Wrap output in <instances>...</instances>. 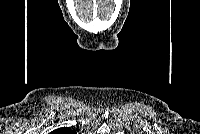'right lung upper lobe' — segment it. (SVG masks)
I'll return each mask as SVG.
<instances>
[{"label": "right lung upper lobe", "instance_id": "obj_1", "mask_svg": "<svg viewBox=\"0 0 200 134\" xmlns=\"http://www.w3.org/2000/svg\"><path fill=\"white\" fill-rule=\"evenodd\" d=\"M71 132L72 131L69 128H60V129L55 130L53 133H55V134H69Z\"/></svg>", "mask_w": 200, "mask_h": 134}]
</instances>
